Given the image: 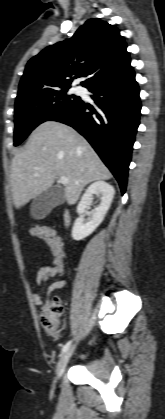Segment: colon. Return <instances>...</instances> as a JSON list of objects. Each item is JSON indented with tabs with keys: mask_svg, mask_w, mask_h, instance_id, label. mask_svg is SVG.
I'll list each match as a JSON object with an SVG mask.
<instances>
[{
	"mask_svg": "<svg viewBox=\"0 0 165 419\" xmlns=\"http://www.w3.org/2000/svg\"><path fill=\"white\" fill-rule=\"evenodd\" d=\"M32 235L37 239L42 237L45 240L50 247L56 267L59 271H63L64 249L61 238L53 230L46 227L33 228ZM63 312L64 305L58 297L52 298L41 308L40 323L47 334L53 337L59 335Z\"/></svg>",
	"mask_w": 165,
	"mask_h": 419,
	"instance_id": "1",
	"label": "colon"
}]
</instances>
